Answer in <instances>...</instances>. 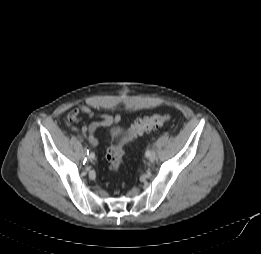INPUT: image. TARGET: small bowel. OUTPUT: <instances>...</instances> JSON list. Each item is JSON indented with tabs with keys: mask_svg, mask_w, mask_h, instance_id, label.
Instances as JSON below:
<instances>
[{
	"mask_svg": "<svg viewBox=\"0 0 261 254\" xmlns=\"http://www.w3.org/2000/svg\"><path fill=\"white\" fill-rule=\"evenodd\" d=\"M83 117H89L92 120L90 122H83L80 132L83 136L87 137L92 146L98 144V140L95 137V132L101 127L110 126L120 121L119 115H96L92 109L88 106H80L69 111L67 115L66 125L74 129L75 125L82 121Z\"/></svg>",
	"mask_w": 261,
	"mask_h": 254,
	"instance_id": "obj_1",
	"label": "small bowel"
}]
</instances>
